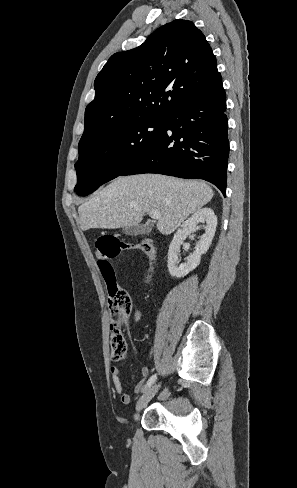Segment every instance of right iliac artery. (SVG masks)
I'll use <instances>...</instances> for the list:
<instances>
[{"label": "right iliac artery", "instance_id": "obj_1", "mask_svg": "<svg viewBox=\"0 0 297 488\" xmlns=\"http://www.w3.org/2000/svg\"><path fill=\"white\" fill-rule=\"evenodd\" d=\"M156 379H157V375L156 374L152 375L147 381L146 387H150L155 382Z\"/></svg>", "mask_w": 297, "mask_h": 488}]
</instances>
